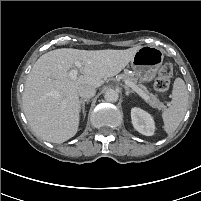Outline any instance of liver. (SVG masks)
Wrapping results in <instances>:
<instances>
[{"label": "liver", "mask_w": 201, "mask_h": 201, "mask_svg": "<svg viewBox=\"0 0 201 201\" xmlns=\"http://www.w3.org/2000/svg\"><path fill=\"white\" fill-rule=\"evenodd\" d=\"M140 47L126 50L61 48L42 55L25 83L22 107L35 135L51 143H63L78 131L81 86L100 87L104 79L120 73ZM80 61L81 75L69 77Z\"/></svg>", "instance_id": "6515ba94"}]
</instances>
